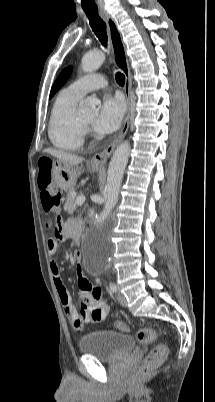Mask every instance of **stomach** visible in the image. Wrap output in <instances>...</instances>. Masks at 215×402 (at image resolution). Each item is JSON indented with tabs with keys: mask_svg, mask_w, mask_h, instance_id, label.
<instances>
[{
	"mask_svg": "<svg viewBox=\"0 0 215 402\" xmlns=\"http://www.w3.org/2000/svg\"><path fill=\"white\" fill-rule=\"evenodd\" d=\"M92 172H97L98 167L89 166L88 168ZM83 170L78 166H73L57 160L52 163L51 175L52 180L61 190L68 191L74 188L78 177L81 175Z\"/></svg>",
	"mask_w": 215,
	"mask_h": 402,
	"instance_id": "0dacf381",
	"label": "stomach"
}]
</instances>
